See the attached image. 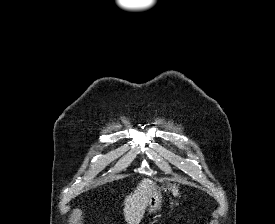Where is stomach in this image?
I'll return each mask as SVG.
<instances>
[{
  "label": "stomach",
  "mask_w": 275,
  "mask_h": 224,
  "mask_svg": "<svg viewBox=\"0 0 275 224\" xmlns=\"http://www.w3.org/2000/svg\"><path fill=\"white\" fill-rule=\"evenodd\" d=\"M165 191L168 189L172 193H178V187L175 184L167 183L166 188H163ZM162 202V194L161 188L158 186H154L152 194L148 203V214L156 212L157 209L161 207Z\"/></svg>",
  "instance_id": "obj_1"
}]
</instances>
